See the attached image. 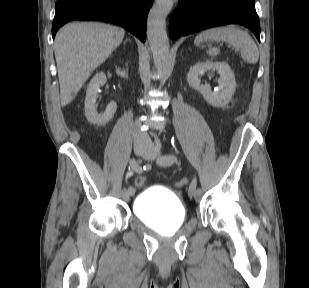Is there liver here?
I'll use <instances>...</instances> for the list:
<instances>
[{"label":"liver","instance_id":"1","mask_svg":"<svg viewBox=\"0 0 309 288\" xmlns=\"http://www.w3.org/2000/svg\"><path fill=\"white\" fill-rule=\"evenodd\" d=\"M125 31L103 23H69L55 38L61 105L69 104L92 72L122 43Z\"/></svg>","mask_w":309,"mask_h":288}]
</instances>
